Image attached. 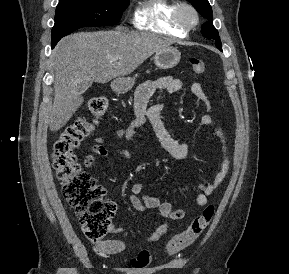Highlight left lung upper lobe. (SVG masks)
<instances>
[{
  "label": "left lung upper lobe",
  "mask_w": 289,
  "mask_h": 274,
  "mask_svg": "<svg viewBox=\"0 0 289 274\" xmlns=\"http://www.w3.org/2000/svg\"><path fill=\"white\" fill-rule=\"evenodd\" d=\"M193 7L208 21L202 25L201 33L207 39L215 40L216 47L222 50L221 41L219 38L218 31L212 24V8L208 2V0H188Z\"/></svg>",
  "instance_id": "5c2ea615"
}]
</instances>
